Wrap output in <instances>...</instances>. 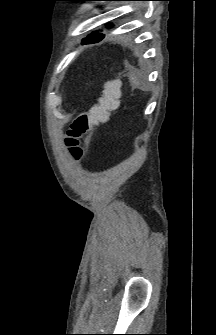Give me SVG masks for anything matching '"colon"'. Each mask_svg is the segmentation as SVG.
<instances>
[{"mask_svg": "<svg viewBox=\"0 0 216 335\" xmlns=\"http://www.w3.org/2000/svg\"><path fill=\"white\" fill-rule=\"evenodd\" d=\"M120 79L106 81L98 101L87 111L81 113L72 123L65 138L71 157L79 160L84 156L81 139L87 136L95 126L106 123L112 112L117 110L121 94Z\"/></svg>", "mask_w": 216, "mask_h": 335, "instance_id": "1", "label": "colon"}]
</instances>
